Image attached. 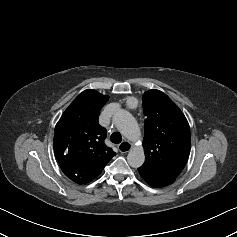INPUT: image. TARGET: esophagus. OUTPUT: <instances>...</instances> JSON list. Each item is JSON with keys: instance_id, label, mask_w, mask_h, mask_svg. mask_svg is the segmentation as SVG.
I'll use <instances>...</instances> for the list:
<instances>
[{"instance_id": "obj_1", "label": "esophagus", "mask_w": 237, "mask_h": 237, "mask_svg": "<svg viewBox=\"0 0 237 237\" xmlns=\"http://www.w3.org/2000/svg\"><path fill=\"white\" fill-rule=\"evenodd\" d=\"M131 148H132V145L128 141H123L122 143L118 145V149L121 153H127L131 150Z\"/></svg>"}]
</instances>
